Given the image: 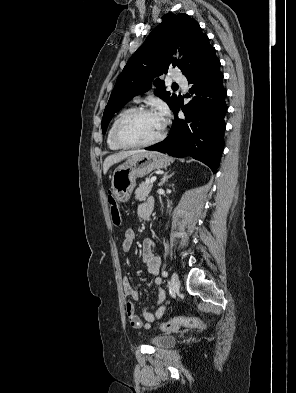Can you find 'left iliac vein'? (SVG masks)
I'll return each instance as SVG.
<instances>
[{
    "label": "left iliac vein",
    "mask_w": 296,
    "mask_h": 393,
    "mask_svg": "<svg viewBox=\"0 0 296 393\" xmlns=\"http://www.w3.org/2000/svg\"><path fill=\"white\" fill-rule=\"evenodd\" d=\"M170 284L172 287V290L174 293L178 292L179 288H180V281L178 278V275L176 273H173L170 279Z\"/></svg>",
    "instance_id": "obj_1"
}]
</instances>
